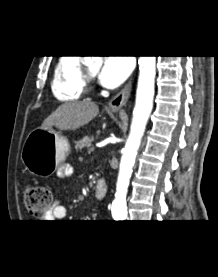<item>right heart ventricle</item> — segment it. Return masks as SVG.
<instances>
[{
    "mask_svg": "<svg viewBox=\"0 0 218 277\" xmlns=\"http://www.w3.org/2000/svg\"><path fill=\"white\" fill-rule=\"evenodd\" d=\"M83 64L77 56L61 57L53 70L51 89L60 101H77L84 94Z\"/></svg>",
    "mask_w": 218,
    "mask_h": 277,
    "instance_id": "e07e8e85",
    "label": "right heart ventricle"
}]
</instances>
